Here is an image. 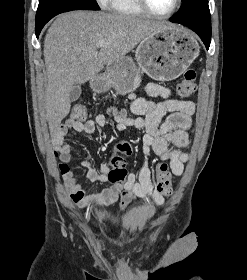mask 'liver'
<instances>
[{
	"instance_id": "1",
	"label": "liver",
	"mask_w": 247,
	"mask_h": 280,
	"mask_svg": "<svg viewBox=\"0 0 247 280\" xmlns=\"http://www.w3.org/2000/svg\"><path fill=\"white\" fill-rule=\"evenodd\" d=\"M176 27L167 22L93 11L59 15L44 40L46 116L51 134L71 107L70 92L125 56L156 31ZM101 43L100 51L97 44Z\"/></svg>"
}]
</instances>
